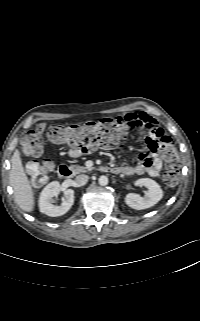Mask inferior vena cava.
Wrapping results in <instances>:
<instances>
[{
	"instance_id": "inferior-vena-cava-1",
	"label": "inferior vena cava",
	"mask_w": 200,
	"mask_h": 321,
	"mask_svg": "<svg viewBox=\"0 0 200 321\" xmlns=\"http://www.w3.org/2000/svg\"><path fill=\"white\" fill-rule=\"evenodd\" d=\"M75 181L77 185L83 186L88 182V176L85 174L78 175L76 176Z\"/></svg>"
}]
</instances>
